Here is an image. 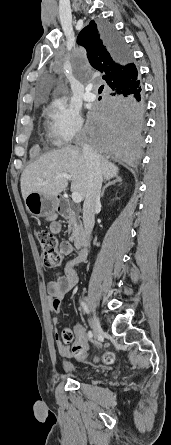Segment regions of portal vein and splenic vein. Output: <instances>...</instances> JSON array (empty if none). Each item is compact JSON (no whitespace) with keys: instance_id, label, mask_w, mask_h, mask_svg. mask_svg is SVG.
Instances as JSON below:
<instances>
[{"instance_id":"portal-vein-and-splenic-vein-1","label":"portal vein and splenic vein","mask_w":171,"mask_h":445,"mask_svg":"<svg viewBox=\"0 0 171 445\" xmlns=\"http://www.w3.org/2000/svg\"><path fill=\"white\" fill-rule=\"evenodd\" d=\"M55 178H56V179L65 178V179H67V180H71V176H70L69 174H67V173H61V174H58V175H56ZM72 200H73V202H75V203H80V202L82 201V197H81L80 193H79V192H76V191H73V192H72Z\"/></svg>"}]
</instances>
